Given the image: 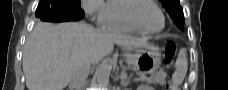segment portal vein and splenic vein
<instances>
[{"label": "portal vein and splenic vein", "instance_id": "obj_1", "mask_svg": "<svg viewBox=\"0 0 228 90\" xmlns=\"http://www.w3.org/2000/svg\"><path fill=\"white\" fill-rule=\"evenodd\" d=\"M136 80H147V77L146 76H141L139 79H136Z\"/></svg>", "mask_w": 228, "mask_h": 90}]
</instances>
